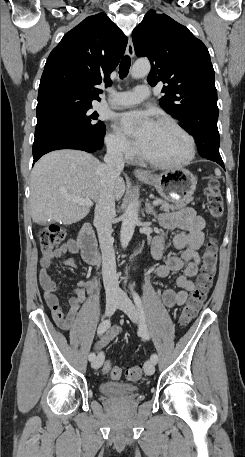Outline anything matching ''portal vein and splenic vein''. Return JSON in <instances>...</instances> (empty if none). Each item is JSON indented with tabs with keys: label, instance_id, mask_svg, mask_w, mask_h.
Returning <instances> with one entry per match:
<instances>
[{
	"label": "portal vein and splenic vein",
	"instance_id": "1",
	"mask_svg": "<svg viewBox=\"0 0 245 457\" xmlns=\"http://www.w3.org/2000/svg\"><path fill=\"white\" fill-rule=\"evenodd\" d=\"M67 200H72V202H77V204H86V206H92L93 202L90 198H80V196H66ZM160 198L153 200V204H160Z\"/></svg>",
	"mask_w": 245,
	"mask_h": 457
}]
</instances>
